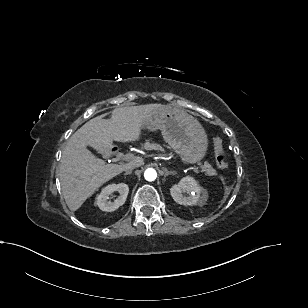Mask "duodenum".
I'll return each instance as SVG.
<instances>
[{
	"label": "duodenum",
	"mask_w": 308,
	"mask_h": 308,
	"mask_svg": "<svg viewBox=\"0 0 308 308\" xmlns=\"http://www.w3.org/2000/svg\"><path fill=\"white\" fill-rule=\"evenodd\" d=\"M111 152H112V153H116V152H118V149H117V148H112V149H111Z\"/></svg>",
	"instance_id": "obj_1"
}]
</instances>
